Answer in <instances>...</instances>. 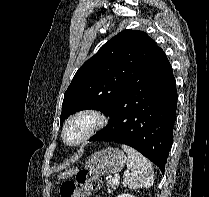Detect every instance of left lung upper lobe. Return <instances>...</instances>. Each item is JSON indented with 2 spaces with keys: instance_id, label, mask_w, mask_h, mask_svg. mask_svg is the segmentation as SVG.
<instances>
[{
  "instance_id": "obj_1",
  "label": "left lung upper lobe",
  "mask_w": 209,
  "mask_h": 197,
  "mask_svg": "<svg viewBox=\"0 0 209 197\" xmlns=\"http://www.w3.org/2000/svg\"><path fill=\"white\" fill-rule=\"evenodd\" d=\"M162 49L143 31L124 30L105 43L76 72L64 94L60 122L76 111L109 114L140 81Z\"/></svg>"
}]
</instances>
